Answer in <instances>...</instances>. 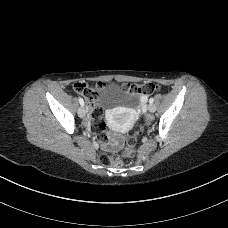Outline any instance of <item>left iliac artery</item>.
<instances>
[{"label": "left iliac artery", "mask_w": 228, "mask_h": 228, "mask_svg": "<svg viewBox=\"0 0 228 228\" xmlns=\"http://www.w3.org/2000/svg\"><path fill=\"white\" fill-rule=\"evenodd\" d=\"M153 102H154V98H150L149 103H153Z\"/></svg>", "instance_id": "obj_1"}]
</instances>
